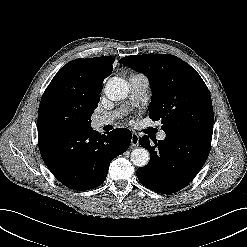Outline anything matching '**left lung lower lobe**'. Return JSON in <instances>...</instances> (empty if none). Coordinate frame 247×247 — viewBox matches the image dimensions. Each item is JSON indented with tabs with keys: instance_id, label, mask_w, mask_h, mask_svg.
I'll use <instances>...</instances> for the list:
<instances>
[{
	"instance_id": "0a47b994",
	"label": "left lung lower lobe",
	"mask_w": 247,
	"mask_h": 247,
	"mask_svg": "<svg viewBox=\"0 0 247 247\" xmlns=\"http://www.w3.org/2000/svg\"><path fill=\"white\" fill-rule=\"evenodd\" d=\"M140 138L150 153V162L138 168V180L148 189L170 194L186 187L205 164L211 138L189 134H166L164 140Z\"/></svg>"
}]
</instances>
